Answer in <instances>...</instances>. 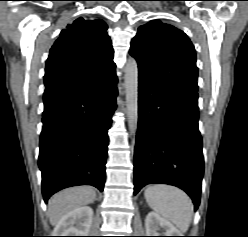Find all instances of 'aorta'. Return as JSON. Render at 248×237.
<instances>
[{
  "mask_svg": "<svg viewBox=\"0 0 248 237\" xmlns=\"http://www.w3.org/2000/svg\"><path fill=\"white\" fill-rule=\"evenodd\" d=\"M124 72L128 126L130 132L134 133L138 123V65L135 59L128 60Z\"/></svg>",
  "mask_w": 248,
  "mask_h": 237,
  "instance_id": "1",
  "label": "aorta"
}]
</instances>
